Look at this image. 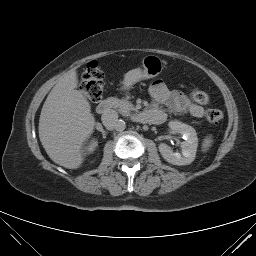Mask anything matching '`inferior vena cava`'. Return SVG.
<instances>
[{
	"label": "inferior vena cava",
	"mask_w": 256,
	"mask_h": 256,
	"mask_svg": "<svg viewBox=\"0 0 256 256\" xmlns=\"http://www.w3.org/2000/svg\"><path fill=\"white\" fill-rule=\"evenodd\" d=\"M101 120L108 130L116 129L119 122L118 113L115 110L110 109L102 114Z\"/></svg>",
	"instance_id": "1"
}]
</instances>
